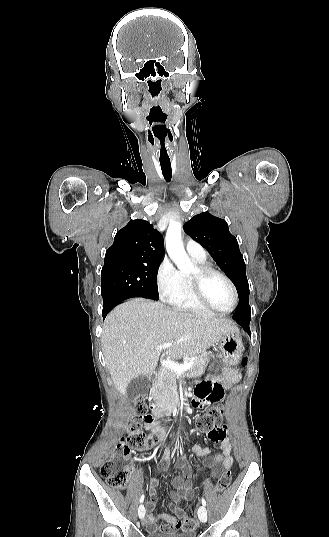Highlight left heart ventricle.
Wrapping results in <instances>:
<instances>
[{"mask_svg":"<svg viewBox=\"0 0 329 537\" xmlns=\"http://www.w3.org/2000/svg\"><path fill=\"white\" fill-rule=\"evenodd\" d=\"M196 269L190 275H194ZM204 293L208 301L217 309L227 311L233 305V293L229 285L218 276H209L203 283Z\"/></svg>","mask_w":329,"mask_h":537,"instance_id":"1","label":"left heart ventricle"}]
</instances>
